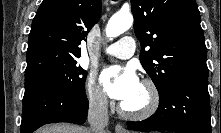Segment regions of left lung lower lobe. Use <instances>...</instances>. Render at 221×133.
<instances>
[{"label":"left lung lower lobe","instance_id":"obj_1","mask_svg":"<svg viewBox=\"0 0 221 133\" xmlns=\"http://www.w3.org/2000/svg\"><path fill=\"white\" fill-rule=\"evenodd\" d=\"M136 131L211 133L207 78L184 76L159 94L154 115L140 122H127Z\"/></svg>","mask_w":221,"mask_h":133}]
</instances>
